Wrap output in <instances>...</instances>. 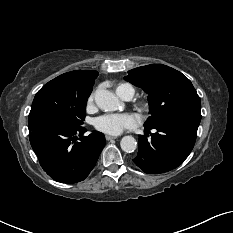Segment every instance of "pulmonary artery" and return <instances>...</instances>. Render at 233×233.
Listing matches in <instances>:
<instances>
[{"mask_svg":"<svg viewBox=\"0 0 233 233\" xmlns=\"http://www.w3.org/2000/svg\"><path fill=\"white\" fill-rule=\"evenodd\" d=\"M133 96L131 94L126 95L123 99L130 100Z\"/></svg>","mask_w":233,"mask_h":233,"instance_id":"obj_1","label":"pulmonary artery"}]
</instances>
